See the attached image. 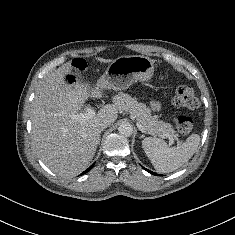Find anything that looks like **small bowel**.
I'll return each instance as SVG.
<instances>
[{"label":"small bowel","instance_id":"small-bowel-1","mask_svg":"<svg viewBox=\"0 0 235 235\" xmlns=\"http://www.w3.org/2000/svg\"><path fill=\"white\" fill-rule=\"evenodd\" d=\"M151 107L154 109V110H158L160 108V105L159 103L155 102V101H152L151 102Z\"/></svg>","mask_w":235,"mask_h":235}]
</instances>
